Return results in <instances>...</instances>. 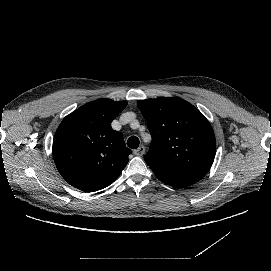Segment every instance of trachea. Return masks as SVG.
I'll return each mask as SVG.
<instances>
[{
    "label": "trachea",
    "mask_w": 271,
    "mask_h": 271,
    "mask_svg": "<svg viewBox=\"0 0 271 271\" xmlns=\"http://www.w3.org/2000/svg\"><path fill=\"white\" fill-rule=\"evenodd\" d=\"M127 145L132 149H137L139 146V139L135 136H132L128 139Z\"/></svg>",
    "instance_id": "trachea-1"
}]
</instances>
